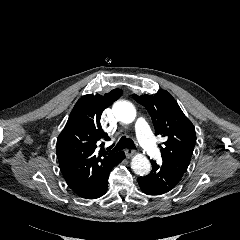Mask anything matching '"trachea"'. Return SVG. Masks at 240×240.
<instances>
[{"mask_svg": "<svg viewBox=\"0 0 240 240\" xmlns=\"http://www.w3.org/2000/svg\"><path fill=\"white\" fill-rule=\"evenodd\" d=\"M124 148H135V144L132 140L125 138V136H123L119 142L117 143V145L111 150L110 153H114L117 151H120Z\"/></svg>", "mask_w": 240, "mask_h": 240, "instance_id": "obj_1", "label": "trachea"}]
</instances>
